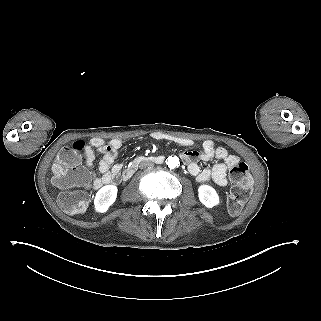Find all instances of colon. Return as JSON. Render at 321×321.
Here are the masks:
<instances>
[{
    "mask_svg": "<svg viewBox=\"0 0 321 321\" xmlns=\"http://www.w3.org/2000/svg\"><path fill=\"white\" fill-rule=\"evenodd\" d=\"M86 148V141H74L58 153L52 167L54 181L59 187H81L80 189L65 191L59 196L61 208L72 215L85 212L89 201V194L86 189L89 174L80 165ZM229 177L234 185L228 197L227 206L232 215H238L251 195L252 176L248 166L243 162H238L230 168Z\"/></svg>",
    "mask_w": 321,
    "mask_h": 321,
    "instance_id": "colon-1",
    "label": "colon"
}]
</instances>
